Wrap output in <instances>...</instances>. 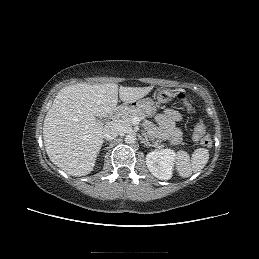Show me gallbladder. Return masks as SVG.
Here are the masks:
<instances>
[{
	"label": "gallbladder",
	"mask_w": 259,
	"mask_h": 259,
	"mask_svg": "<svg viewBox=\"0 0 259 259\" xmlns=\"http://www.w3.org/2000/svg\"><path fill=\"white\" fill-rule=\"evenodd\" d=\"M102 119L101 118H98V121H101Z\"/></svg>",
	"instance_id": "1"
}]
</instances>
